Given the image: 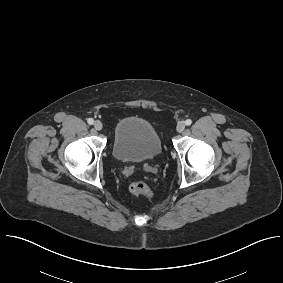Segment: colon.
<instances>
[{
  "instance_id": "colon-1",
  "label": "colon",
  "mask_w": 283,
  "mask_h": 283,
  "mask_svg": "<svg viewBox=\"0 0 283 283\" xmlns=\"http://www.w3.org/2000/svg\"><path fill=\"white\" fill-rule=\"evenodd\" d=\"M130 191L139 196H143L146 198H152L153 197V191L150 188V186L144 182V181H134L129 186Z\"/></svg>"
}]
</instances>
